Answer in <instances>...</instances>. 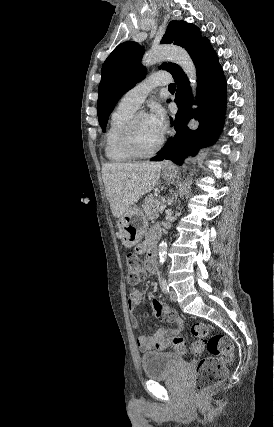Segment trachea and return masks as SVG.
<instances>
[{
    "label": "trachea",
    "mask_w": 274,
    "mask_h": 427,
    "mask_svg": "<svg viewBox=\"0 0 274 427\" xmlns=\"http://www.w3.org/2000/svg\"><path fill=\"white\" fill-rule=\"evenodd\" d=\"M168 88H169L170 91H175L176 90V84L175 83H171Z\"/></svg>",
    "instance_id": "3493384b"
}]
</instances>
